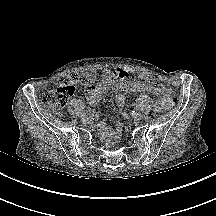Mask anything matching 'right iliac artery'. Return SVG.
I'll return each instance as SVG.
<instances>
[{"label":"right iliac artery","instance_id":"82829eb1","mask_svg":"<svg viewBox=\"0 0 216 216\" xmlns=\"http://www.w3.org/2000/svg\"><path fill=\"white\" fill-rule=\"evenodd\" d=\"M90 114L91 113V109L90 108H88L86 111H84V114Z\"/></svg>","mask_w":216,"mask_h":216}]
</instances>
